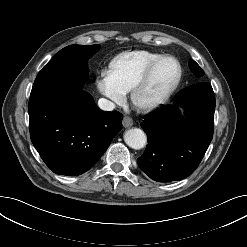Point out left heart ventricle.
Masks as SVG:
<instances>
[{
	"mask_svg": "<svg viewBox=\"0 0 247 247\" xmlns=\"http://www.w3.org/2000/svg\"><path fill=\"white\" fill-rule=\"evenodd\" d=\"M177 71V66L172 60L160 62L141 94V102H148L162 94L176 78Z\"/></svg>",
	"mask_w": 247,
	"mask_h": 247,
	"instance_id": "1",
	"label": "left heart ventricle"
}]
</instances>
